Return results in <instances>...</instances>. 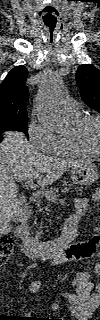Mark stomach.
<instances>
[{
	"label": "stomach",
	"mask_w": 100,
	"mask_h": 320,
	"mask_svg": "<svg viewBox=\"0 0 100 320\" xmlns=\"http://www.w3.org/2000/svg\"><path fill=\"white\" fill-rule=\"evenodd\" d=\"M99 176V170L91 160H85L71 170V179L78 185H91Z\"/></svg>",
	"instance_id": "1"
}]
</instances>
